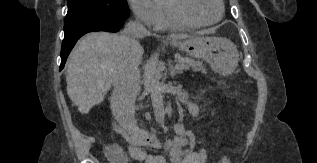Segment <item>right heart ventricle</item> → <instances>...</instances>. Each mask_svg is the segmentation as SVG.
<instances>
[{"label": "right heart ventricle", "mask_w": 317, "mask_h": 163, "mask_svg": "<svg viewBox=\"0 0 317 163\" xmlns=\"http://www.w3.org/2000/svg\"><path fill=\"white\" fill-rule=\"evenodd\" d=\"M158 3L160 13L158 21L154 26L156 29H181L186 27L184 25L177 23L170 17L166 8V0H158Z\"/></svg>", "instance_id": "e07e8e85"}]
</instances>
